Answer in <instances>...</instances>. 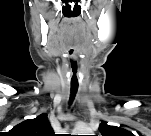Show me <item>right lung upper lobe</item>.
Wrapping results in <instances>:
<instances>
[{
    "label": "right lung upper lobe",
    "instance_id": "1",
    "mask_svg": "<svg viewBox=\"0 0 151 136\" xmlns=\"http://www.w3.org/2000/svg\"><path fill=\"white\" fill-rule=\"evenodd\" d=\"M15 136H53L54 132L46 114L28 119L11 129Z\"/></svg>",
    "mask_w": 151,
    "mask_h": 136
}]
</instances>
